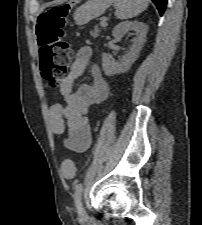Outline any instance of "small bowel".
Segmentation results:
<instances>
[{
	"instance_id": "obj_1",
	"label": "small bowel",
	"mask_w": 202,
	"mask_h": 225,
	"mask_svg": "<svg viewBox=\"0 0 202 225\" xmlns=\"http://www.w3.org/2000/svg\"><path fill=\"white\" fill-rule=\"evenodd\" d=\"M92 49H78L67 76L62 80L59 91L65 105L54 104L48 112L50 129L55 135L67 134L65 145L76 153L87 151L92 144V134L87 118L91 105L103 102L109 94V84L100 69L91 65ZM90 67L92 85L82 83L74 89V83Z\"/></svg>"
}]
</instances>
